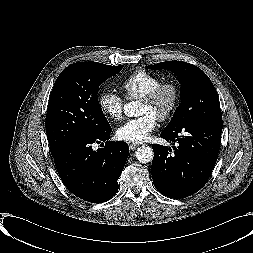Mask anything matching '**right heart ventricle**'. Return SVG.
Instances as JSON below:
<instances>
[{"instance_id":"right-heart-ventricle-1","label":"right heart ventricle","mask_w":253,"mask_h":253,"mask_svg":"<svg viewBox=\"0 0 253 253\" xmlns=\"http://www.w3.org/2000/svg\"><path fill=\"white\" fill-rule=\"evenodd\" d=\"M162 82L163 80L160 76L144 70H137L121 83V88L127 99H137L145 96Z\"/></svg>"}]
</instances>
